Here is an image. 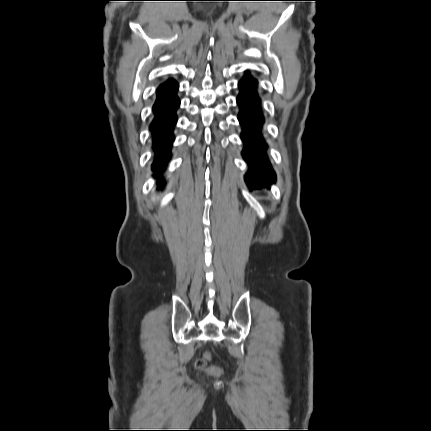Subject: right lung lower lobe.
Masks as SVG:
<instances>
[{"label": "right lung lower lobe", "mask_w": 431, "mask_h": 431, "mask_svg": "<svg viewBox=\"0 0 431 431\" xmlns=\"http://www.w3.org/2000/svg\"><path fill=\"white\" fill-rule=\"evenodd\" d=\"M177 89L176 81L169 80L160 85L156 91L157 97L153 105L154 119L149 126L155 156L152 164L155 177L160 176L171 158V146L175 139L173 131L177 120L176 111L180 104L176 95ZM164 184L165 182L159 180L158 188H162Z\"/></svg>", "instance_id": "1"}]
</instances>
